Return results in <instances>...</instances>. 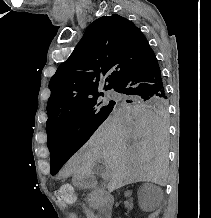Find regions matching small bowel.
<instances>
[{"mask_svg":"<svg viewBox=\"0 0 211 218\" xmlns=\"http://www.w3.org/2000/svg\"><path fill=\"white\" fill-rule=\"evenodd\" d=\"M85 214H86L87 218H95V216L93 215V213L90 212L89 210H85Z\"/></svg>","mask_w":211,"mask_h":218,"instance_id":"small-bowel-1","label":"small bowel"}]
</instances>
